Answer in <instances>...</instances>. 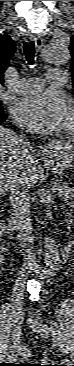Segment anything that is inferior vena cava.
<instances>
[{"mask_svg":"<svg viewBox=\"0 0 74 366\" xmlns=\"http://www.w3.org/2000/svg\"><path fill=\"white\" fill-rule=\"evenodd\" d=\"M21 148L23 152L30 157L32 147L30 143L20 138ZM10 204L12 206V225L18 231V240L24 251L25 268L22 269L20 280H18L13 289V297L21 299L24 292L23 279L29 268V263L35 261V250L33 246L34 236L32 234L31 212H30V196L29 184L26 177L20 172L16 173L10 181Z\"/></svg>","mask_w":74,"mask_h":366,"instance_id":"602c4592","label":"inferior vena cava"}]
</instances>
